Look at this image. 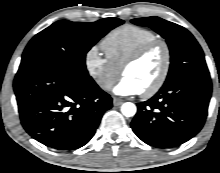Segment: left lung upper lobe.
Segmentation results:
<instances>
[{"mask_svg":"<svg viewBox=\"0 0 220 173\" xmlns=\"http://www.w3.org/2000/svg\"><path fill=\"white\" fill-rule=\"evenodd\" d=\"M131 22L148 26L166 39L171 64L163 87L188 79L210 78L203 51L187 29L159 17L137 18Z\"/></svg>","mask_w":220,"mask_h":173,"instance_id":"1","label":"left lung upper lobe"}]
</instances>
